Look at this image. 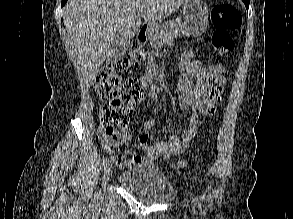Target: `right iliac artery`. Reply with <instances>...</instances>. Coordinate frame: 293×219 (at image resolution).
Listing matches in <instances>:
<instances>
[{"instance_id": "right-iliac-artery-1", "label": "right iliac artery", "mask_w": 293, "mask_h": 219, "mask_svg": "<svg viewBox=\"0 0 293 219\" xmlns=\"http://www.w3.org/2000/svg\"><path fill=\"white\" fill-rule=\"evenodd\" d=\"M108 164H109L108 159L103 160V162H102V164H101V167H100L101 170H102V171L105 170V169L107 168Z\"/></svg>"}]
</instances>
